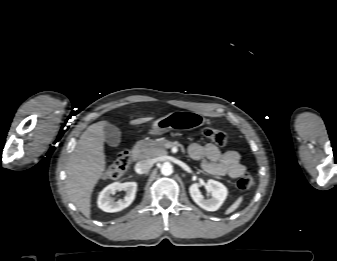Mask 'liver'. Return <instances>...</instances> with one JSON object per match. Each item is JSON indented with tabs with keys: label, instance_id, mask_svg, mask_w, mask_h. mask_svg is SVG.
Returning <instances> with one entry per match:
<instances>
[{
	"label": "liver",
	"instance_id": "liver-1",
	"mask_svg": "<svg viewBox=\"0 0 337 261\" xmlns=\"http://www.w3.org/2000/svg\"><path fill=\"white\" fill-rule=\"evenodd\" d=\"M152 117L131 120L138 125ZM107 121L90 125L81 135L67 163L66 193L69 200L87 218L91 215V195L106 168L104 127Z\"/></svg>",
	"mask_w": 337,
	"mask_h": 261
}]
</instances>
